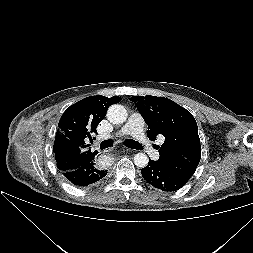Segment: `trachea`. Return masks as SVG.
Instances as JSON below:
<instances>
[{
	"instance_id": "3493384b",
	"label": "trachea",
	"mask_w": 253,
	"mask_h": 253,
	"mask_svg": "<svg viewBox=\"0 0 253 253\" xmlns=\"http://www.w3.org/2000/svg\"><path fill=\"white\" fill-rule=\"evenodd\" d=\"M124 144L126 147L131 148V149H141L142 148L138 142H136L132 139L125 140ZM112 145H113V141L109 139V140L102 141L100 143V148H101V150H103V149L111 147Z\"/></svg>"
}]
</instances>
